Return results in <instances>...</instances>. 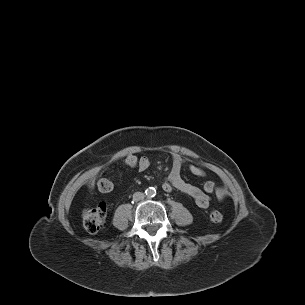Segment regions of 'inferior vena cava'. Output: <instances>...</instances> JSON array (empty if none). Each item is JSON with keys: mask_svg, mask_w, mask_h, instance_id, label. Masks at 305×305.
<instances>
[{"mask_svg": "<svg viewBox=\"0 0 305 305\" xmlns=\"http://www.w3.org/2000/svg\"><path fill=\"white\" fill-rule=\"evenodd\" d=\"M144 197H145V195H144V193H142V192H135V193L133 194V200H134V201H140V200H142Z\"/></svg>", "mask_w": 305, "mask_h": 305, "instance_id": "inferior-vena-cava-1", "label": "inferior vena cava"}]
</instances>
